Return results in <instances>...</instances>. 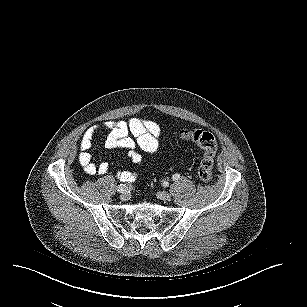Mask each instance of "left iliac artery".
<instances>
[{
  "mask_svg": "<svg viewBox=\"0 0 307 307\" xmlns=\"http://www.w3.org/2000/svg\"><path fill=\"white\" fill-rule=\"evenodd\" d=\"M173 181H178L180 179V174L176 173L172 176Z\"/></svg>",
  "mask_w": 307,
  "mask_h": 307,
  "instance_id": "1",
  "label": "left iliac artery"
}]
</instances>
